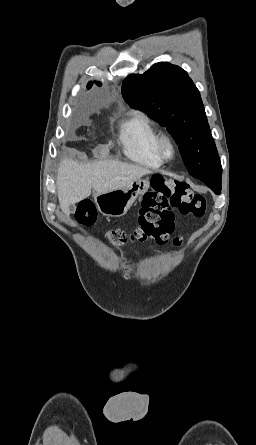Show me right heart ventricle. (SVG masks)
Here are the masks:
<instances>
[{
	"instance_id": "right-heart-ventricle-1",
	"label": "right heart ventricle",
	"mask_w": 256,
	"mask_h": 445,
	"mask_svg": "<svg viewBox=\"0 0 256 445\" xmlns=\"http://www.w3.org/2000/svg\"><path fill=\"white\" fill-rule=\"evenodd\" d=\"M159 135L151 119L142 112L132 113L119 128V142L124 154L151 168L163 164L156 151Z\"/></svg>"
}]
</instances>
